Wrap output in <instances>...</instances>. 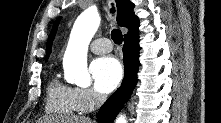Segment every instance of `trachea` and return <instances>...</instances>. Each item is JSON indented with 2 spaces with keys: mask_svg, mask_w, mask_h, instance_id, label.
<instances>
[{
  "mask_svg": "<svg viewBox=\"0 0 221 123\" xmlns=\"http://www.w3.org/2000/svg\"><path fill=\"white\" fill-rule=\"evenodd\" d=\"M115 9L114 7L111 8V13H114ZM111 38L114 41L115 44H121L122 43V33L119 29H113L111 32Z\"/></svg>",
  "mask_w": 221,
  "mask_h": 123,
  "instance_id": "3493384b",
  "label": "trachea"
}]
</instances>
